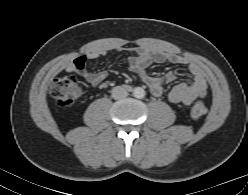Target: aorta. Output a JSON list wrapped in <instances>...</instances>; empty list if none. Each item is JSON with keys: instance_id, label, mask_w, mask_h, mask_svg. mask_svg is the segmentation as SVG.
I'll list each match as a JSON object with an SVG mask.
<instances>
[{"instance_id": "1", "label": "aorta", "mask_w": 248, "mask_h": 195, "mask_svg": "<svg viewBox=\"0 0 248 195\" xmlns=\"http://www.w3.org/2000/svg\"><path fill=\"white\" fill-rule=\"evenodd\" d=\"M133 95L136 97V98H144L145 96V90L141 87H136L133 91Z\"/></svg>"}]
</instances>
